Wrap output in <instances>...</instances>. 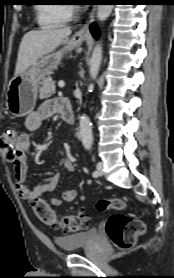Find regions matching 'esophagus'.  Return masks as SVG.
Instances as JSON below:
<instances>
[{
  "mask_svg": "<svg viewBox=\"0 0 174 278\" xmlns=\"http://www.w3.org/2000/svg\"><path fill=\"white\" fill-rule=\"evenodd\" d=\"M96 8L93 7L90 11L86 23L80 28V30L76 33V36L84 37L89 32V26L93 22L95 17Z\"/></svg>",
  "mask_w": 174,
  "mask_h": 278,
  "instance_id": "1",
  "label": "esophagus"
}]
</instances>
